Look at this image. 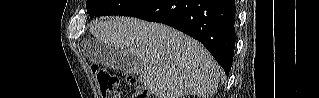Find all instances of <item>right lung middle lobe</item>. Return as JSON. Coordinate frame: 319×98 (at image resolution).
Masks as SVG:
<instances>
[{
    "mask_svg": "<svg viewBox=\"0 0 319 98\" xmlns=\"http://www.w3.org/2000/svg\"><path fill=\"white\" fill-rule=\"evenodd\" d=\"M146 0H87L90 18L94 16L121 15Z\"/></svg>",
    "mask_w": 319,
    "mask_h": 98,
    "instance_id": "dd1d6c3e",
    "label": "right lung middle lobe"
}]
</instances>
